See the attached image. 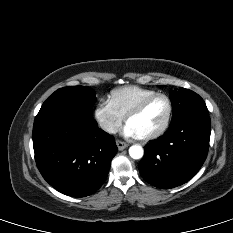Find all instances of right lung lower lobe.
I'll use <instances>...</instances> for the list:
<instances>
[{
    "label": "right lung lower lobe",
    "instance_id": "right-lung-lower-lobe-1",
    "mask_svg": "<svg viewBox=\"0 0 233 233\" xmlns=\"http://www.w3.org/2000/svg\"><path fill=\"white\" fill-rule=\"evenodd\" d=\"M68 123L73 127L69 129ZM33 147L43 178L72 197L97 191L118 151L114 137L99 129L91 115L66 109L38 113Z\"/></svg>",
    "mask_w": 233,
    "mask_h": 233
}]
</instances>
